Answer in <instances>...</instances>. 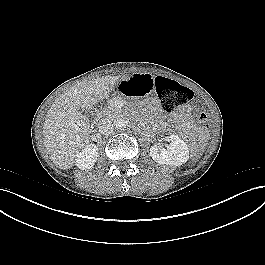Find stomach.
I'll return each mask as SVG.
<instances>
[{"label":"stomach","instance_id":"obj_1","mask_svg":"<svg viewBox=\"0 0 265 265\" xmlns=\"http://www.w3.org/2000/svg\"><path fill=\"white\" fill-rule=\"evenodd\" d=\"M152 88V78L148 74H130L120 76L114 82V91L119 96L139 98L144 93H149Z\"/></svg>","mask_w":265,"mask_h":265}]
</instances>
